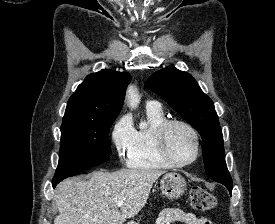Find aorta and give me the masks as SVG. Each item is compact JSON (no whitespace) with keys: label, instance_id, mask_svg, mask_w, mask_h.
<instances>
[{"label":"aorta","instance_id":"aorta-1","mask_svg":"<svg viewBox=\"0 0 275 224\" xmlns=\"http://www.w3.org/2000/svg\"><path fill=\"white\" fill-rule=\"evenodd\" d=\"M127 99H128V105L131 109H135L138 106L140 102V97L137 89L134 86L128 87ZM144 127H145V124L141 125V128H144Z\"/></svg>","mask_w":275,"mask_h":224}]
</instances>
